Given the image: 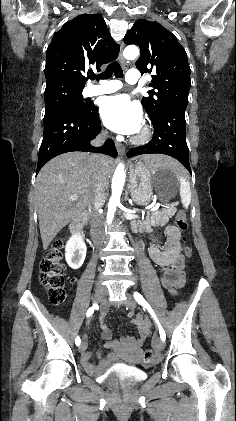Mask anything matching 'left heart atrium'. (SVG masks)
<instances>
[{"instance_id":"left-heart-atrium-1","label":"left heart atrium","mask_w":236,"mask_h":421,"mask_svg":"<svg viewBox=\"0 0 236 421\" xmlns=\"http://www.w3.org/2000/svg\"><path fill=\"white\" fill-rule=\"evenodd\" d=\"M100 113L105 124L122 134H135L143 125L140 108L127 96L118 94L102 100Z\"/></svg>"}]
</instances>
